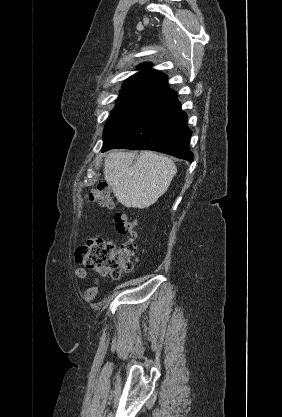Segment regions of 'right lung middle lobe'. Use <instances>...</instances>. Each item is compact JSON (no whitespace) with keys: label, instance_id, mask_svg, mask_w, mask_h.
<instances>
[{"label":"right lung middle lobe","instance_id":"obj_1","mask_svg":"<svg viewBox=\"0 0 282 417\" xmlns=\"http://www.w3.org/2000/svg\"><path fill=\"white\" fill-rule=\"evenodd\" d=\"M159 97V94L142 92L120 93L116 106L112 110L111 116L105 125L103 141L105 142L108 138L128 125Z\"/></svg>","mask_w":282,"mask_h":417}]
</instances>
